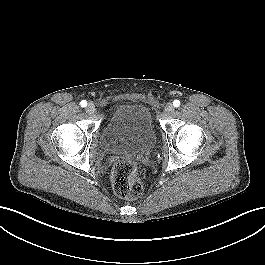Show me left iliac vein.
I'll return each mask as SVG.
<instances>
[{
	"instance_id": "1",
	"label": "left iliac vein",
	"mask_w": 265,
	"mask_h": 265,
	"mask_svg": "<svg viewBox=\"0 0 265 265\" xmlns=\"http://www.w3.org/2000/svg\"><path fill=\"white\" fill-rule=\"evenodd\" d=\"M165 111L167 113H172L174 111V106L171 104V103H168L166 106H165Z\"/></svg>"
}]
</instances>
